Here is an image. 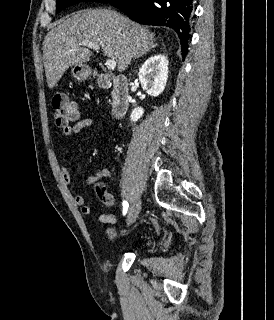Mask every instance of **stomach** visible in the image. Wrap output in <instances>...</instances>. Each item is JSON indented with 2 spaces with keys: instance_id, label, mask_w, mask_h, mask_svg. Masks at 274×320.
I'll return each mask as SVG.
<instances>
[{
  "instance_id": "stomach-1",
  "label": "stomach",
  "mask_w": 274,
  "mask_h": 320,
  "mask_svg": "<svg viewBox=\"0 0 274 320\" xmlns=\"http://www.w3.org/2000/svg\"><path fill=\"white\" fill-rule=\"evenodd\" d=\"M92 70L89 68V66H79V64H76V68H73L72 74L76 80H86L88 76H90Z\"/></svg>"
}]
</instances>
